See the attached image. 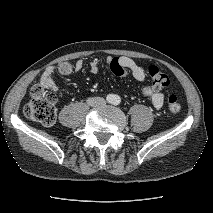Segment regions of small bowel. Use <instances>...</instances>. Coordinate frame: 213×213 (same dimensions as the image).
Wrapping results in <instances>:
<instances>
[{
  "label": "small bowel",
  "instance_id": "obj_1",
  "mask_svg": "<svg viewBox=\"0 0 213 213\" xmlns=\"http://www.w3.org/2000/svg\"><path fill=\"white\" fill-rule=\"evenodd\" d=\"M119 60L121 63L126 64L129 66L130 68V73L132 75V77L139 81V82H144L146 79V73L145 70L137 65L133 60H131L130 58L127 57H117V58H112V57H107L105 60V64L111 68V64L114 60ZM83 68V62L81 60H78L75 63V70L79 71ZM89 68L91 73L95 74L97 73L98 69H99V63L97 60H93L90 62L89 64ZM55 72V67L50 65L47 66L44 70V72L42 73L41 79H40V84L47 88V89H51L53 91H58V87L54 81L53 78V74ZM142 94L146 97H149L153 107L156 110H160L164 104V95L162 94V92H160L159 90L154 89L152 86H145L142 89Z\"/></svg>",
  "mask_w": 213,
  "mask_h": 213
}]
</instances>
